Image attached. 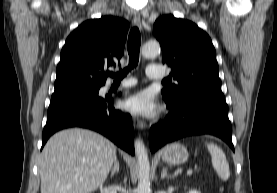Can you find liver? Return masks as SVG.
Segmentation results:
<instances>
[{"mask_svg":"<svg viewBox=\"0 0 277 193\" xmlns=\"http://www.w3.org/2000/svg\"><path fill=\"white\" fill-rule=\"evenodd\" d=\"M115 158L116 146L94 131H60L41 154V193H91L105 182Z\"/></svg>","mask_w":277,"mask_h":193,"instance_id":"6515ba94","label":"liver"}]
</instances>
